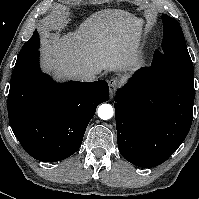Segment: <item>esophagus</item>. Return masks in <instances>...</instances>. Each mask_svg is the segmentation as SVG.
<instances>
[{
  "mask_svg": "<svg viewBox=\"0 0 199 199\" xmlns=\"http://www.w3.org/2000/svg\"><path fill=\"white\" fill-rule=\"evenodd\" d=\"M120 82L117 79H111L109 81V88H110V98L112 99L115 95L116 89L118 88Z\"/></svg>",
  "mask_w": 199,
  "mask_h": 199,
  "instance_id": "obj_1",
  "label": "esophagus"
}]
</instances>
